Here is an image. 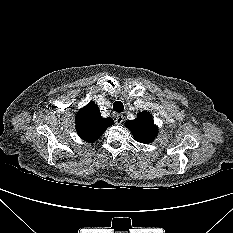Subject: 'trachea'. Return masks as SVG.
Returning a JSON list of instances; mask_svg holds the SVG:
<instances>
[{
	"instance_id": "3493384b",
	"label": "trachea",
	"mask_w": 233,
	"mask_h": 233,
	"mask_svg": "<svg viewBox=\"0 0 233 233\" xmlns=\"http://www.w3.org/2000/svg\"><path fill=\"white\" fill-rule=\"evenodd\" d=\"M113 109L115 112L121 113L124 110V105L121 101H115L113 104Z\"/></svg>"
}]
</instances>
